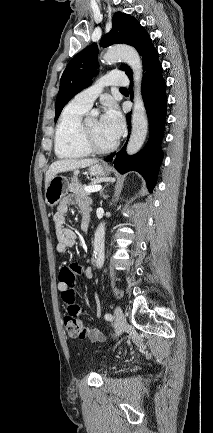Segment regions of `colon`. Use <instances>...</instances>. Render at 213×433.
Wrapping results in <instances>:
<instances>
[{"label":"colon","instance_id":"5ec220e1","mask_svg":"<svg viewBox=\"0 0 213 433\" xmlns=\"http://www.w3.org/2000/svg\"><path fill=\"white\" fill-rule=\"evenodd\" d=\"M76 277V272L72 267L62 268L59 274L60 282L66 286V289L62 292L63 300L67 304V313L63 318L64 326L70 337L95 339L98 337V333L95 330L89 331L85 327L80 319L81 308L75 303L74 286Z\"/></svg>","mask_w":213,"mask_h":433}]
</instances>
